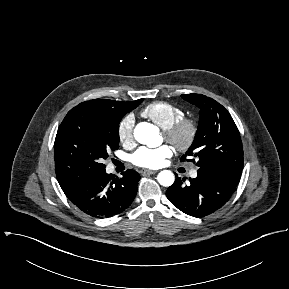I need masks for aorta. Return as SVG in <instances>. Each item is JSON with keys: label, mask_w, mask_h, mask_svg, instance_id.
<instances>
[{"label": "aorta", "mask_w": 289, "mask_h": 289, "mask_svg": "<svg viewBox=\"0 0 289 289\" xmlns=\"http://www.w3.org/2000/svg\"><path fill=\"white\" fill-rule=\"evenodd\" d=\"M134 137L139 143L149 147H156L160 143L158 128L147 122H141L136 125ZM157 180L160 185L169 187L174 183L175 176L170 170H163L158 174Z\"/></svg>", "instance_id": "aorta-1"}]
</instances>
